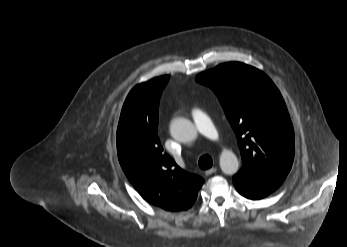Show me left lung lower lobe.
I'll return each instance as SVG.
<instances>
[{"mask_svg":"<svg viewBox=\"0 0 347 247\" xmlns=\"http://www.w3.org/2000/svg\"><path fill=\"white\" fill-rule=\"evenodd\" d=\"M233 183L238 192L249 199H261L278 189L282 181L279 180H257L241 174L233 176Z\"/></svg>","mask_w":347,"mask_h":247,"instance_id":"obj_1","label":"left lung lower lobe"}]
</instances>
